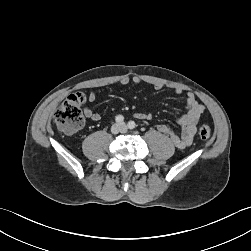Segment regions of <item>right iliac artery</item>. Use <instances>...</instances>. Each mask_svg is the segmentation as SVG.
I'll return each instance as SVG.
<instances>
[{
    "instance_id": "right-iliac-artery-1",
    "label": "right iliac artery",
    "mask_w": 251,
    "mask_h": 251,
    "mask_svg": "<svg viewBox=\"0 0 251 251\" xmlns=\"http://www.w3.org/2000/svg\"><path fill=\"white\" fill-rule=\"evenodd\" d=\"M115 121H116L117 123H122V122L124 121V117H123L122 115H117V116L115 117Z\"/></svg>"
}]
</instances>
